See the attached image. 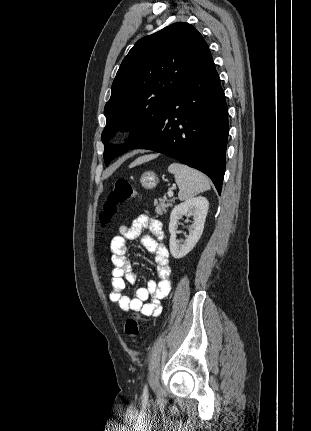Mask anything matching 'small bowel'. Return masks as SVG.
Masks as SVG:
<instances>
[{"label":"small bowel","instance_id":"small-bowel-1","mask_svg":"<svg viewBox=\"0 0 311 431\" xmlns=\"http://www.w3.org/2000/svg\"><path fill=\"white\" fill-rule=\"evenodd\" d=\"M149 231L151 235L142 234ZM141 237L145 249L154 255L158 282L149 281L147 287L139 288L135 297L123 294L126 282L135 283L137 275L128 260L126 253L128 241ZM113 269L111 271L110 300L123 311H139L143 316H157L162 309L161 300L168 295L171 288V268L169 252L164 243L162 223L148 215H139L130 225H122L119 234L110 243ZM149 303H144L147 299Z\"/></svg>","mask_w":311,"mask_h":431}]
</instances>
